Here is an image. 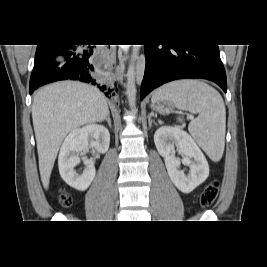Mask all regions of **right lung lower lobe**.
<instances>
[{"mask_svg": "<svg viewBox=\"0 0 267 267\" xmlns=\"http://www.w3.org/2000/svg\"><path fill=\"white\" fill-rule=\"evenodd\" d=\"M76 80L92 84L107 97L117 91L110 83L104 56L91 46L38 45L29 92L59 80Z\"/></svg>", "mask_w": 267, "mask_h": 267, "instance_id": "obj_1", "label": "right lung lower lobe"}]
</instances>
